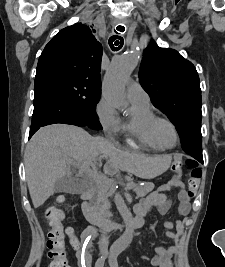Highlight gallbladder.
I'll use <instances>...</instances> for the list:
<instances>
[{"instance_id": "1", "label": "gallbladder", "mask_w": 225, "mask_h": 267, "mask_svg": "<svg viewBox=\"0 0 225 267\" xmlns=\"http://www.w3.org/2000/svg\"><path fill=\"white\" fill-rule=\"evenodd\" d=\"M54 190L55 192L79 193L80 187L74 178L65 176L56 181Z\"/></svg>"}]
</instances>
